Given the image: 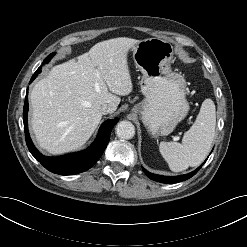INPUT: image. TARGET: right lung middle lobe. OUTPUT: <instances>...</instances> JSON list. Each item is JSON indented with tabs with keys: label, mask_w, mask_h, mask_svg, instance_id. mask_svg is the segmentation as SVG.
Returning <instances> with one entry per match:
<instances>
[{
	"label": "right lung middle lobe",
	"mask_w": 247,
	"mask_h": 247,
	"mask_svg": "<svg viewBox=\"0 0 247 247\" xmlns=\"http://www.w3.org/2000/svg\"><path fill=\"white\" fill-rule=\"evenodd\" d=\"M53 55H54V53L47 56L46 59L44 60V63H47L53 57ZM40 72H41V68H38L34 74H39Z\"/></svg>",
	"instance_id": "obj_1"
}]
</instances>
